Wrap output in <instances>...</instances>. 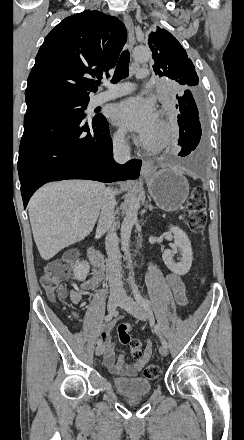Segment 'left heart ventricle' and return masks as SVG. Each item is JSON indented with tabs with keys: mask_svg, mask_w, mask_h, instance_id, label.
<instances>
[{
	"mask_svg": "<svg viewBox=\"0 0 244 440\" xmlns=\"http://www.w3.org/2000/svg\"><path fill=\"white\" fill-rule=\"evenodd\" d=\"M163 131H164L163 125H162L161 121H158L157 125L155 127L154 136L159 137L163 133Z\"/></svg>",
	"mask_w": 244,
	"mask_h": 440,
	"instance_id": "b2bd125f",
	"label": "left heart ventricle"
}]
</instances>
